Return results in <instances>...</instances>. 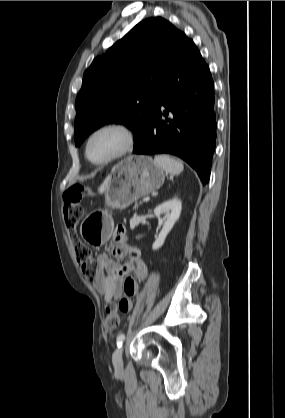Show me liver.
<instances>
[{
	"instance_id": "liver-1",
	"label": "liver",
	"mask_w": 285,
	"mask_h": 418,
	"mask_svg": "<svg viewBox=\"0 0 285 418\" xmlns=\"http://www.w3.org/2000/svg\"><path fill=\"white\" fill-rule=\"evenodd\" d=\"M111 180V175H109L104 182L102 183V185L100 186V188L98 189L99 193H104L105 191H107L108 187H109V183Z\"/></svg>"
}]
</instances>
